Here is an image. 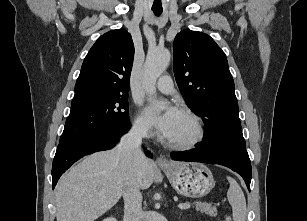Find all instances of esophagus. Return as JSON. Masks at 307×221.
Instances as JSON below:
<instances>
[{"mask_svg":"<svg viewBox=\"0 0 307 221\" xmlns=\"http://www.w3.org/2000/svg\"><path fill=\"white\" fill-rule=\"evenodd\" d=\"M156 162L161 168L169 167L171 165L168 159L163 156L157 157Z\"/></svg>","mask_w":307,"mask_h":221,"instance_id":"obj_1","label":"esophagus"}]
</instances>
